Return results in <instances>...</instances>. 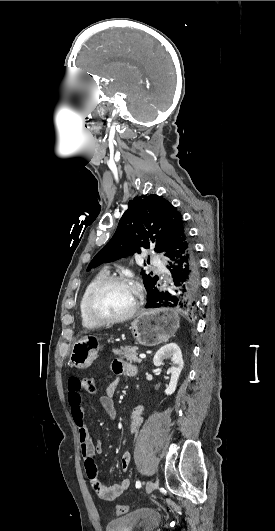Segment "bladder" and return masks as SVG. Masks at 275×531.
Segmentation results:
<instances>
[{"label": "bladder", "mask_w": 275, "mask_h": 531, "mask_svg": "<svg viewBox=\"0 0 275 531\" xmlns=\"http://www.w3.org/2000/svg\"><path fill=\"white\" fill-rule=\"evenodd\" d=\"M162 517L157 511L140 508L107 523L106 531H156Z\"/></svg>", "instance_id": "bladder-1"}]
</instances>
